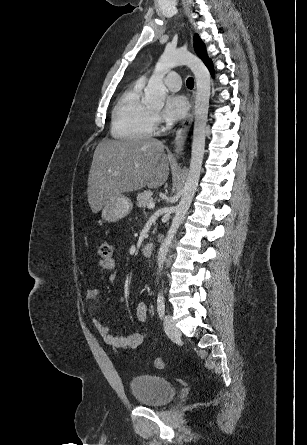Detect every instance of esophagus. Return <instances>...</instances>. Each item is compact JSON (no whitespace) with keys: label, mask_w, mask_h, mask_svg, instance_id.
<instances>
[{"label":"esophagus","mask_w":307,"mask_h":445,"mask_svg":"<svg viewBox=\"0 0 307 445\" xmlns=\"http://www.w3.org/2000/svg\"><path fill=\"white\" fill-rule=\"evenodd\" d=\"M196 92L195 90L191 96V108L187 117L183 120L179 128L176 130L175 142L173 147V153L175 156L179 157L183 154L184 144L187 139L188 133L192 126L194 120V101H195Z\"/></svg>","instance_id":"obj_1"}]
</instances>
